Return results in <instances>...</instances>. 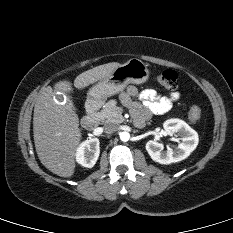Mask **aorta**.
Returning a JSON list of instances; mask_svg holds the SVG:
<instances>
[{"instance_id":"obj_1","label":"aorta","mask_w":233,"mask_h":233,"mask_svg":"<svg viewBox=\"0 0 233 233\" xmlns=\"http://www.w3.org/2000/svg\"><path fill=\"white\" fill-rule=\"evenodd\" d=\"M120 139L123 142H127L130 139V134L128 132H121L120 133Z\"/></svg>"}]
</instances>
